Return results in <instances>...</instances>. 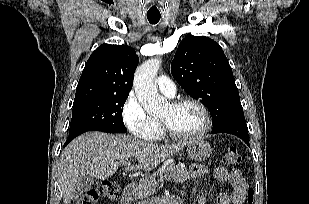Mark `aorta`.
<instances>
[{"instance_id":"aorta-1","label":"aorta","mask_w":309,"mask_h":204,"mask_svg":"<svg viewBox=\"0 0 309 204\" xmlns=\"http://www.w3.org/2000/svg\"><path fill=\"white\" fill-rule=\"evenodd\" d=\"M161 65L160 58H152L142 63L134 75V89L139 102L150 113L161 111L166 101L158 93L154 84L155 76Z\"/></svg>"}]
</instances>
